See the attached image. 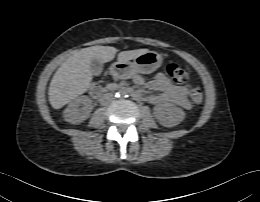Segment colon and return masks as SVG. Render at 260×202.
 I'll return each instance as SVG.
<instances>
[{
    "instance_id": "1",
    "label": "colon",
    "mask_w": 260,
    "mask_h": 202,
    "mask_svg": "<svg viewBox=\"0 0 260 202\" xmlns=\"http://www.w3.org/2000/svg\"><path fill=\"white\" fill-rule=\"evenodd\" d=\"M166 73L176 83H186L189 81V74L180 69L176 64H169L166 67ZM190 97L194 103H200L203 99V93L201 89L194 88L190 92Z\"/></svg>"
}]
</instances>
